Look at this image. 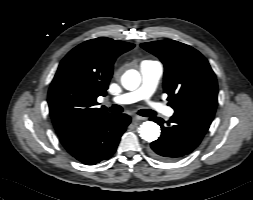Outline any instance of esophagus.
Returning a JSON list of instances; mask_svg holds the SVG:
<instances>
[{
	"label": "esophagus",
	"instance_id": "obj_1",
	"mask_svg": "<svg viewBox=\"0 0 253 200\" xmlns=\"http://www.w3.org/2000/svg\"><path fill=\"white\" fill-rule=\"evenodd\" d=\"M132 120L134 123H136V122L145 120V118L140 117V116H134Z\"/></svg>",
	"mask_w": 253,
	"mask_h": 200
}]
</instances>
